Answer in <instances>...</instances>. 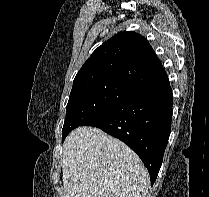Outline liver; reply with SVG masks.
<instances>
[{
	"label": "liver",
	"instance_id": "6515ba94",
	"mask_svg": "<svg viewBox=\"0 0 209 197\" xmlns=\"http://www.w3.org/2000/svg\"><path fill=\"white\" fill-rule=\"evenodd\" d=\"M62 197H145L149 174L127 145L95 127H78L63 144Z\"/></svg>",
	"mask_w": 209,
	"mask_h": 197
}]
</instances>
